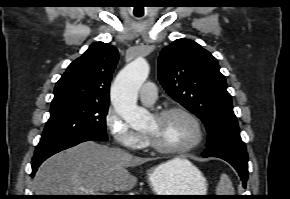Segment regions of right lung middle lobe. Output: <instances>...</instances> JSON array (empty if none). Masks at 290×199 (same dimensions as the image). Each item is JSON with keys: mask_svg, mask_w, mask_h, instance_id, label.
Returning a JSON list of instances; mask_svg holds the SVG:
<instances>
[{"mask_svg": "<svg viewBox=\"0 0 290 199\" xmlns=\"http://www.w3.org/2000/svg\"><path fill=\"white\" fill-rule=\"evenodd\" d=\"M108 104L74 103L51 109L38 145L80 137L107 140L106 115Z\"/></svg>", "mask_w": 290, "mask_h": 199, "instance_id": "right-lung-middle-lobe-1", "label": "right lung middle lobe"}]
</instances>
